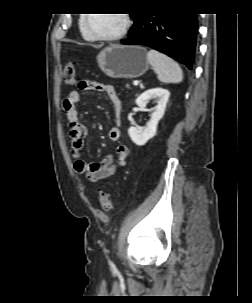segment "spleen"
Returning <instances> with one entry per match:
<instances>
[{"mask_svg":"<svg viewBox=\"0 0 252 303\" xmlns=\"http://www.w3.org/2000/svg\"><path fill=\"white\" fill-rule=\"evenodd\" d=\"M147 58L159 81L163 83H180L183 80L182 69L170 57L151 49L147 53Z\"/></svg>","mask_w":252,"mask_h":303,"instance_id":"spleen-1","label":"spleen"}]
</instances>
